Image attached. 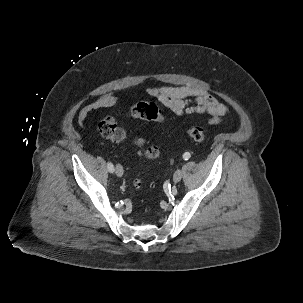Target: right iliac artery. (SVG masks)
Listing matches in <instances>:
<instances>
[{
	"instance_id": "obj_1",
	"label": "right iliac artery",
	"mask_w": 303,
	"mask_h": 303,
	"mask_svg": "<svg viewBox=\"0 0 303 303\" xmlns=\"http://www.w3.org/2000/svg\"><path fill=\"white\" fill-rule=\"evenodd\" d=\"M107 168H108V171L113 173L114 172V166L111 162H108L107 163Z\"/></svg>"
}]
</instances>
